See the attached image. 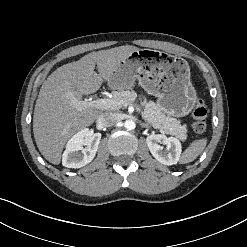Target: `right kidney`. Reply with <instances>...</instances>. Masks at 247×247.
<instances>
[{
    "instance_id": "right-kidney-1",
    "label": "right kidney",
    "mask_w": 247,
    "mask_h": 247,
    "mask_svg": "<svg viewBox=\"0 0 247 247\" xmlns=\"http://www.w3.org/2000/svg\"><path fill=\"white\" fill-rule=\"evenodd\" d=\"M100 140L101 133H93L88 128L76 133L68 141L66 150L62 155L63 166L81 168L90 163L96 155Z\"/></svg>"
}]
</instances>
